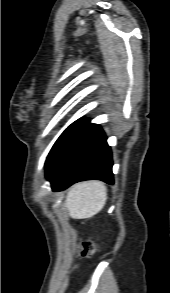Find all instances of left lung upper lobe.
<instances>
[{"label":"left lung upper lobe","mask_w":170,"mask_h":293,"mask_svg":"<svg viewBox=\"0 0 170 293\" xmlns=\"http://www.w3.org/2000/svg\"><path fill=\"white\" fill-rule=\"evenodd\" d=\"M87 123V119L80 118L74 123H72L68 128L65 129V131L60 135V137L57 139L55 144L53 145L47 160H46V171L51 167V165L56 161L58 156L61 154V152L64 150V148L67 146V144L71 141V139L74 137V135Z\"/></svg>","instance_id":"obj_1"}]
</instances>
